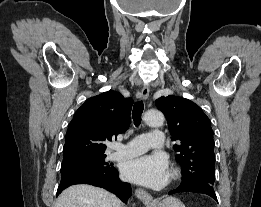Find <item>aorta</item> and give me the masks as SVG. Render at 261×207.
Listing matches in <instances>:
<instances>
[{
  "instance_id": "1",
  "label": "aorta",
  "mask_w": 261,
  "mask_h": 207,
  "mask_svg": "<svg viewBox=\"0 0 261 207\" xmlns=\"http://www.w3.org/2000/svg\"><path fill=\"white\" fill-rule=\"evenodd\" d=\"M164 120V115L158 110L147 111L144 115V121L150 127H161Z\"/></svg>"
}]
</instances>
